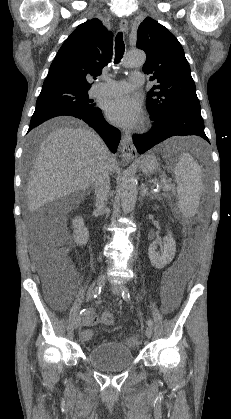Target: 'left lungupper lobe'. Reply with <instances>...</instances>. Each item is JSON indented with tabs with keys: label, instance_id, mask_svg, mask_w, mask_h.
I'll use <instances>...</instances> for the list:
<instances>
[{
	"label": "left lung upper lobe",
	"instance_id": "1",
	"mask_svg": "<svg viewBox=\"0 0 231 419\" xmlns=\"http://www.w3.org/2000/svg\"><path fill=\"white\" fill-rule=\"evenodd\" d=\"M137 47L147 55L143 71L156 80L147 94L151 114L165 115L185 108H200L184 50L163 25L147 17L138 28Z\"/></svg>",
	"mask_w": 231,
	"mask_h": 419
}]
</instances>
